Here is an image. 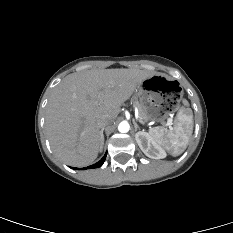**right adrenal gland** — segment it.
Segmentation results:
<instances>
[{
    "label": "right adrenal gland",
    "mask_w": 233,
    "mask_h": 233,
    "mask_svg": "<svg viewBox=\"0 0 233 233\" xmlns=\"http://www.w3.org/2000/svg\"><path fill=\"white\" fill-rule=\"evenodd\" d=\"M101 132H102V142H101V145H103V144H104V135H103V129L101 130Z\"/></svg>",
    "instance_id": "2a0ac1e0"
}]
</instances>
